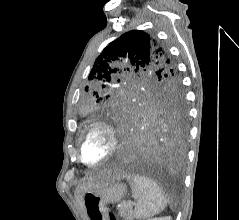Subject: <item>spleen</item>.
<instances>
[{"label": "spleen", "instance_id": "spleen-1", "mask_svg": "<svg viewBox=\"0 0 239 220\" xmlns=\"http://www.w3.org/2000/svg\"><path fill=\"white\" fill-rule=\"evenodd\" d=\"M133 198L136 200L134 217L138 220L146 219L162 212L168 200L164 196L159 185L141 175H132L127 177Z\"/></svg>", "mask_w": 239, "mask_h": 220}]
</instances>
